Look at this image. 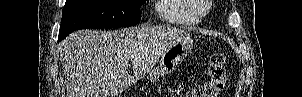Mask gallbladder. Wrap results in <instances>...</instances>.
Here are the masks:
<instances>
[{
    "label": "gallbladder",
    "mask_w": 302,
    "mask_h": 97,
    "mask_svg": "<svg viewBox=\"0 0 302 97\" xmlns=\"http://www.w3.org/2000/svg\"><path fill=\"white\" fill-rule=\"evenodd\" d=\"M107 96H108V92L107 91L100 92V97H107Z\"/></svg>",
    "instance_id": "obj_1"
}]
</instances>
